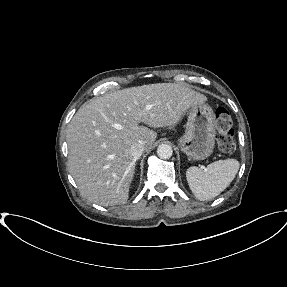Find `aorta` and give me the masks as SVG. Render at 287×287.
I'll return each instance as SVG.
<instances>
[{"mask_svg":"<svg viewBox=\"0 0 287 287\" xmlns=\"http://www.w3.org/2000/svg\"><path fill=\"white\" fill-rule=\"evenodd\" d=\"M157 154L161 159H169L173 154L172 147L167 144H160L157 148Z\"/></svg>","mask_w":287,"mask_h":287,"instance_id":"1","label":"aorta"}]
</instances>
